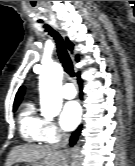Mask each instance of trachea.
Segmentation results:
<instances>
[{"mask_svg":"<svg viewBox=\"0 0 135 166\" xmlns=\"http://www.w3.org/2000/svg\"><path fill=\"white\" fill-rule=\"evenodd\" d=\"M43 27L45 28V31H47L54 38L56 42L58 56L64 67L65 72L69 74L71 77H73L74 76L73 64L66 50L62 37L60 36L58 32L53 30L49 25L44 24Z\"/></svg>","mask_w":135,"mask_h":166,"instance_id":"trachea-1","label":"trachea"}]
</instances>
